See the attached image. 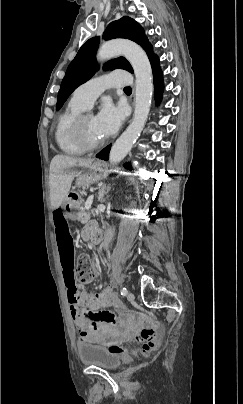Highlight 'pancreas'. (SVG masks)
<instances>
[{"instance_id":"1","label":"pancreas","mask_w":243,"mask_h":404,"mask_svg":"<svg viewBox=\"0 0 243 404\" xmlns=\"http://www.w3.org/2000/svg\"><path fill=\"white\" fill-rule=\"evenodd\" d=\"M91 216H95L93 210H88V212H83L78 214V221L80 224H86L90 220Z\"/></svg>"}]
</instances>
